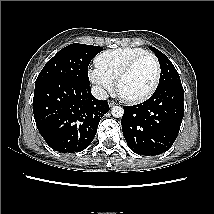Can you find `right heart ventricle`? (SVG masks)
Here are the masks:
<instances>
[{
	"mask_svg": "<svg viewBox=\"0 0 214 214\" xmlns=\"http://www.w3.org/2000/svg\"><path fill=\"white\" fill-rule=\"evenodd\" d=\"M145 52L143 48L139 47H123L107 50L96 56L95 66L115 82L121 70L134 57Z\"/></svg>",
	"mask_w": 214,
	"mask_h": 214,
	"instance_id": "right-heart-ventricle-1",
	"label": "right heart ventricle"
}]
</instances>
